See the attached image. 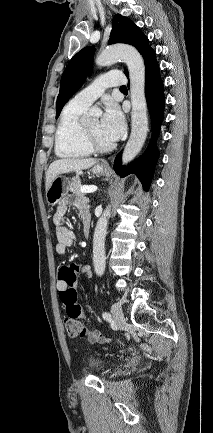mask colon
<instances>
[{
    "label": "colon",
    "mask_w": 213,
    "mask_h": 433,
    "mask_svg": "<svg viewBox=\"0 0 213 433\" xmlns=\"http://www.w3.org/2000/svg\"><path fill=\"white\" fill-rule=\"evenodd\" d=\"M78 273L73 266H63L59 271V281L64 284V289L60 291V298L65 305L66 316L64 318L65 329L71 337L88 336L91 340L98 337L96 330L88 332L80 318L84 316L82 306L77 301Z\"/></svg>",
    "instance_id": "5ec220e1"
}]
</instances>
